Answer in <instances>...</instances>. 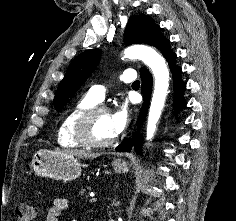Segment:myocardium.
<instances>
[{
  "label": "myocardium",
  "mask_w": 236,
  "mask_h": 221,
  "mask_svg": "<svg viewBox=\"0 0 236 221\" xmlns=\"http://www.w3.org/2000/svg\"><path fill=\"white\" fill-rule=\"evenodd\" d=\"M102 112H109V109L103 105H96L87 110L77 121L75 127V138L84 146L92 148H103L114 144L117 141V136L109 140H98L93 135V126L96 118Z\"/></svg>",
  "instance_id": "myocardium-1"
}]
</instances>
